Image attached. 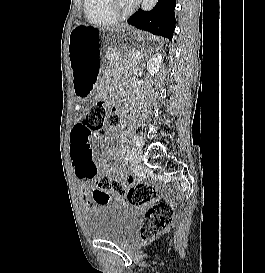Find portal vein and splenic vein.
Here are the masks:
<instances>
[{"label": "portal vein and splenic vein", "instance_id": "18ae733b", "mask_svg": "<svg viewBox=\"0 0 265 273\" xmlns=\"http://www.w3.org/2000/svg\"><path fill=\"white\" fill-rule=\"evenodd\" d=\"M133 57H135V58H139V54H133Z\"/></svg>", "mask_w": 265, "mask_h": 273}]
</instances>
